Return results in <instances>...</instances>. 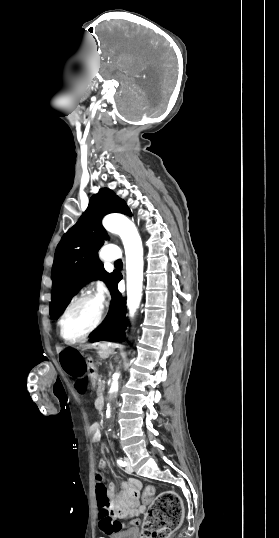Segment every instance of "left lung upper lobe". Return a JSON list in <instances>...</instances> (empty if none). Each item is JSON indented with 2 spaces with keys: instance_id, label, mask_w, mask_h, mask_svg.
Wrapping results in <instances>:
<instances>
[{
  "instance_id": "obj_1",
  "label": "left lung upper lobe",
  "mask_w": 279,
  "mask_h": 538,
  "mask_svg": "<svg viewBox=\"0 0 279 538\" xmlns=\"http://www.w3.org/2000/svg\"><path fill=\"white\" fill-rule=\"evenodd\" d=\"M113 212L132 216L122 199L110 189L103 188L91 197L87 210L58 244L52 272L53 301L50 304V314L53 319L59 317L72 296L89 280H103L112 294L117 276L114 272L104 270L98 260V251L108 238L101 220ZM113 306L112 301L103 323L114 310Z\"/></svg>"
}]
</instances>
